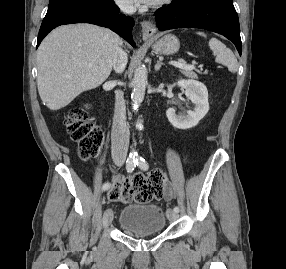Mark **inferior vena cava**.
Returning <instances> with one entry per match:
<instances>
[{
	"label": "inferior vena cava",
	"instance_id": "obj_1",
	"mask_svg": "<svg viewBox=\"0 0 286 269\" xmlns=\"http://www.w3.org/2000/svg\"><path fill=\"white\" fill-rule=\"evenodd\" d=\"M120 9L127 14L135 11L134 7L128 3H120ZM127 54L122 48H117L113 58V68L117 73L124 71L127 64ZM129 130L126 125V107L121 91L115 93V110L111 133L112 158L116 162H124L127 157L129 147Z\"/></svg>",
	"mask_w": 286,
	"mask_h": 269
}]
</instances>
